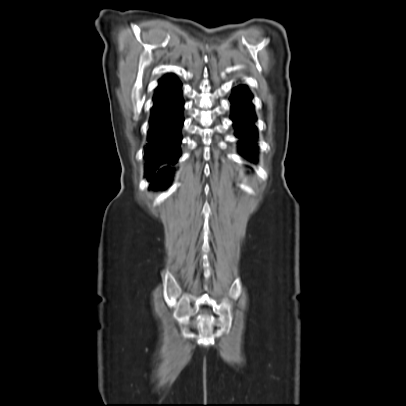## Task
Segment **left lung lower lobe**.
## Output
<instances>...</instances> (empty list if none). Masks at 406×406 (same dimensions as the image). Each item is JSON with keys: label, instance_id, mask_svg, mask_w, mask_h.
I'll use <instances>...</instances> for the list:
<instances>
[{"label": "left lung lower lobe", "instance_id": "left-lung-lower-lobe-1", "mask_svg": "<svg viewBox=\"0 0 406 406\" xmlns=\"http://www.w3.org/2000/svg\"><path fill=\"white\" fill-rule=\"evenodd\" d=\"M251 94L243 87L234 90L230 102L232 107L231 120L236 128V135L244 146L255 143V115L252 108ZM253 150L245 149L244 154L251 156Z\"/></svg>", "mask_w": 406, "mask_h": 406}]
</instances>
